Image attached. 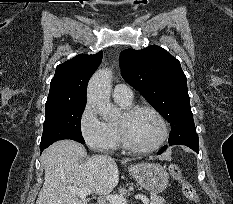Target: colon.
<instances>
[{
    "mask_svg": "<svg viewBox=\"0 0 233 204\" xmlns=\"http://www.w3.org/2000/svg\"><path fill=\"white\" fill-rule=\"evenodd\" d=\"M169 172H170V175L175 179L177 180L180 185H181V190H182V193L184 194V196L196 203V204H199L200 203V199H199V195L197 193V191L195 190V188L183 177L182 175V171L179 167L178 164L176 163H173L169 166Z\"/></svg>",
    "mask_w": 233,
    "mask_h": 204,
    "instance_id": "5ec220e1",
    "label": "colon"
}]
</instances>
